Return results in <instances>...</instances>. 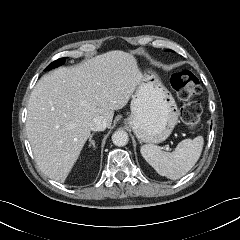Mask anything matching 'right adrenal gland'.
I'll list each match as a JSON object with an SVG mask.
<instances>
[{
	"label": "right adrenal gland",
	"instance_id": "1",
	"mask_svg": "<svg viewBox=\"0 0 240 240\" xmlns=\"http://www.w3.org/2000/svg\"><path fill=\"white\" fill-rule=\"evenodd\" d=\"M94 133H92L89 137V146H92L94 149H95V141L92 140V137H93Z\"/></svg>",
	"mask_w": 240,
	"mask_h": 240
}]
</instances>
